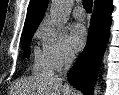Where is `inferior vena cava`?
<instances>
[{
  "instance_id": "obj_1",
  "label": "inferior vena cava",
  "mask_w": 119,
  "mask_h": 95,
  "mask_svg": "<svg viewBox=\"0 0 119 95\" xmlns=\"http://www.w3.org/2000/svg\"><path fill=\"white\" fill-rule=\"evenodd\" d=\"M75 56L72 53H67L64 58V73H67L71 68Z\"/></svg>"
}]
</instances>
